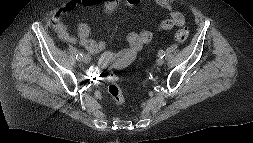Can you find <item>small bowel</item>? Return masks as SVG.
Here are the masks:
<instances>
[{"label": "small bowel", "mask_w": 253, "mask_h": 143, "mask_svg": "<svg viewBox=\"0 0 253 143\" xmlns=\"http://www.w3.org/2000/svg\"><path fill=\"white\" fill-rule=\"evenodd\" d=\"M121 0H70L61 9H59L53 17V26L60 39L65 42L74 44L79 42L88 52L97 53L104 48V44L96 42L91 38V29L88 23H80L77 27L76 34L70 32L67 26L62 22L63 17L81 7H89L95 5H102L105 12L114 11ZM143 0H124L128 6H138ZM156 3L169 13V17L164 19L159 25V31H168L174 27L182 26L185 22L183 14L173 9L169 0H155ZM152 39L151 31L142 29L139 32H132L128 35L127 41L129 47L118 53L106 52L103 57H112L117 62L123 59H134L136 53ZM102 57V58H103Z\"/></svg>", "instance_id": "1"}]
</instances>
